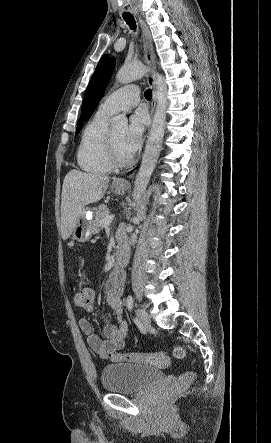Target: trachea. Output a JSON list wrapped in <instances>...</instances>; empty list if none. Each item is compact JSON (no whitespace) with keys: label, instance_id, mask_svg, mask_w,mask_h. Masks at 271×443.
Wrapping results in <instances>:
<instances>
[{"label":"trachea","instance_id":"trachea-1","mask_svg":"<svg viewBox=\"0 0 271 443\" xmlns=\"http://www.w3.org/2000/svg\"><path fill=\"white\" fill-rule=\"evenodd\" d=\"M120 14H121V16H123L124 20L129 25L131 30H135L136 29V24H135V20H134L133 15H131L130 10L125 9V10L121 11ZM145 98L147 100H151V98H152V91L150 89H147L145 91Z\"/></svg>","mask_w":271,"mask_h":443}]
</instances>
